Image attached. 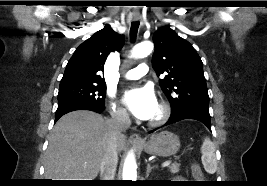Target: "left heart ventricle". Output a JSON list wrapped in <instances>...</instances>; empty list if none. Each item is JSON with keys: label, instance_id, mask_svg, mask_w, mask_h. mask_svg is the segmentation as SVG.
Returning <instances> with one entry per match:
<instances>
[{"label": "left heart ventricle", "instance_id": "b2bd125f", "mask_svg": "<svg viewBox=\"0 0 267 186\" xmlns=\"http://www.w3.org/2000/svg\"><path fill=\"white\" fill-rule=\"evenodd\" d=\"M159 112H160L159 106H157L153 116L149 120L155 119L159 115Z\"/></svg>", "mask_w": 267, "mask_h": 186}]
</instances>
